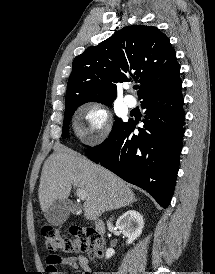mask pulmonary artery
Returning <instances> with one entry per match:
<instances>
[{
	"mask_svg": "<svg viewBox=\"0 0 215 274\" xmlns=\"http://www.w3.org/2000/svg\"><path fill=\"white\" fill-rule=\"evenodd\" d=\"M124 103L126 104V106H128L129 108H135L137 105V100L135 99V97H133L132 95H126L124 97Z\"/></svg>",
	"mask_w": 215,
	"mask_h": 274,
	"instance_id": "pulmonary-artery-1",
	"label": "pulmonary artery"
}]
</instances>
